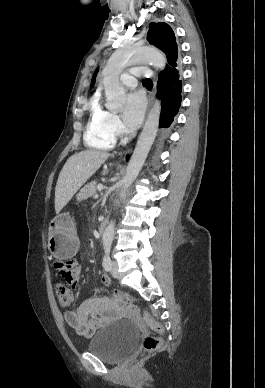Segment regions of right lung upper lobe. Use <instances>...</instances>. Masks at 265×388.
Instances as JSON below:
<instances>
[{
	"instance_id": "right-lung-upper-lobe-1",
	"label": "right lung upper lobe",
	"mask_w": 265,
	"mask_h": 388,
	"mask_svg": "<svg viewBox=\"0 0 265 388\" xmlns=\"http://www.w3.org/2000/svg\"><path fill=\"white\" fill-rule=\"evenodd\" d=\"M98 72V69L95 71L94 75H93V78H92V83H91V88L93 87L94 83H95V77H96V74Z\"/></svg>"
}]
</instances>
